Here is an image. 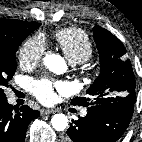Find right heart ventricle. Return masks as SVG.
Wrapping results in <instances>:
<instances>
[{
	"instance_id": "right-heart-ventricle-1",
	"label": "right heart ventricle",
	"mask_w": 142,
	"mask_h": 142,
	"mask_svg": "<svg viewBox=\"0 0 142 142\" xmlns=\"http://www.w3.org/2000/svg\"><path fill=\"white\" fill-rule=\"evenodd\" d=\"M58 47L69 62L80 64L93 54V45L88 34L82 29L70 27L58 30L54 35Z\"/></svg>"
}]
</instances>
